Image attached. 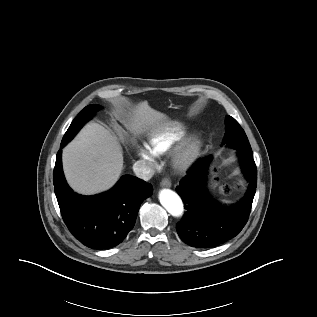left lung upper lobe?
<instances>
[{
    "mask_svg": "<svg viewBox=\"0 0 317 317\" xmlns=\"http://www.w3.org/2000/svg\"><path fill=\"white\" fill-rule=\"evenodd\" d=\"M225 125L226 132L222 143L231 146L238 151L252 153L247 136L238 122L231 116H226Z\"/></svg>",
    "mask_w": 317,
    "mask_h": 317,
    "instance_id": "left-lung-upper-lobe-1",
    "label": "left lung upper lobe"
}]
</instances>
